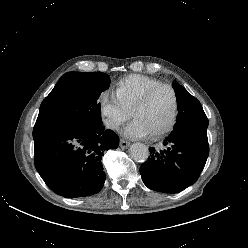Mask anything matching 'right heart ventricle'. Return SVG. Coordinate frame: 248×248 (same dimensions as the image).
Instances as JSON below:
<instances>
[{"mask_svg":"<svg viewBox=\"0 0 248 248\" xmlns=\"http://www.w3.org/2000/svg\"><path fill=\"white\" fill-rule=\"evenodd\" d=\"M158 84L161 82L157 79L140 74H131L116 83L114 95L121 105L130 112L143 94Z\"/></svg>","mask_w":248,"mask_h":248,"instance_id":"1","label":"right heart ventricle"}]
</instances>
